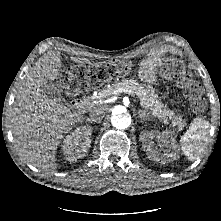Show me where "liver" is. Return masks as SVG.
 Instances as JSON below:
<instances>
[{
    "label": "liver",
    "instance_id": "6515ba94",
    "mask_svg": "<svg viewBox=\"0 0 221 221\" xmlns=\"http://www.w3.org/2000/svg\"><path fill=\"white\" fill-rule=\"evenodd\" d=\"M71 60L90 62L79 57ZM60 67L59 52L50 51L40 57L22 80L9 117L19 155L46 172L56 170L55 154L60 141L85 114L84 110L75 111L46 94L44 86L58 78Z\"/></svg>",
    "mask_w": 221,
    "mask_h": 221
}]
</instances>
